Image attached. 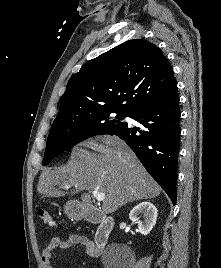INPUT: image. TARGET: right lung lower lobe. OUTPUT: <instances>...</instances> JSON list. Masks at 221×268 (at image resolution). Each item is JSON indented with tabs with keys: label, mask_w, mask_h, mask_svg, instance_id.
Listing matches in <instances>:
<instances>
[{
	"label": "right lung lower lobe",
	"mask_w": 221,
	"mask_h": 268,
	"mask_svg": "<svg viewBox=\"0 0 221 268\" xmlns=\"http://www.w3.org/2000/svg\"><path fill=\"white\" fill-rule=\"evenodd\" d=\"M130 118L140 126L126 123L107 134L116 135L129 145L175 205L181 133L178 96L143 108Z\"/></svg>",
	"instance_id": "obj_1"
}]
</instances>
